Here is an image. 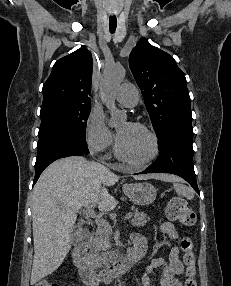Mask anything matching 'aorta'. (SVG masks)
<instances>
[{
  "label": "aorta",
  "mask_w": 231,
  "mask_h": 286,
  "mask_svg": "<svg viewBox=\"0 0 231 286\" xmlns=\"http://www.w3.org/2000/svg\"><path fill=\"white\" fill-rule=\"evenodd\" d=\"M125 76V69L121 65H112L104 70L100 83V93L103 102L110 112L109 126L116 127L125 122L126 113L115 105L114 93Z\"/></svg>",
  "instance_id": "1"
}]
</instances>
